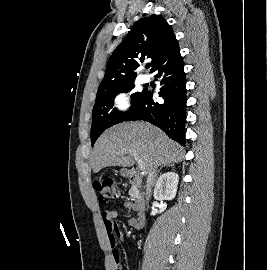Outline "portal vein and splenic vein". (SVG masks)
<instances>
[{
    "instance_id": "portal-vein-and-splenic-vein-1",
    "label": "portal vein and splenic vein",
    "mask_w": 267,
    "mask_h": 270,
    "mask_svg": "<svg viewBox=\"0 0 267 270\" xmlns=\"http://www.w3.org/2000/svg\"><path fill=\"white\" fill-rule=\"evenodd\" d=\"M135 160L137 161L139 170H141V171L144 170V169H145V164H144V162L140 159V157L135 156Z\"/></svg>"
}]
</instances>
